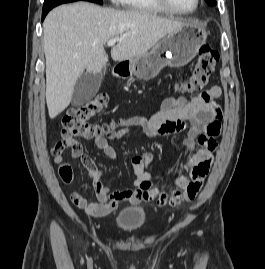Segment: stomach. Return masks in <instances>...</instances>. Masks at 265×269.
Wrapping results in <instances>:
<instances>
[{
    "instance_id": "1",
    "label": "stomach",
    "mask_w": 265,
    "mask_h": 269,
    "mask_svg": "<svg viewBox=\"0 0 265 269\" xmlns=\"http://www.w3.org/2000/svg\"><path fill=\"white\" fill-rule=\"evenodd\" d=\"M206 39L207 32L203 27L194 22H186L162 38L151 51L122 61L123 74L150 80L165 66H185L197 55Z\"/></svg>"
}]
</instances>
